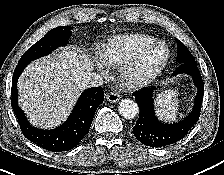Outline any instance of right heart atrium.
I'll return each mask as SVG.
<instances>
[{"label": "right heart atrium", "instance_id": "d8ad5b80", "mask_svg": "<svg viewBox=\"0 0 224 175\" xmlns=\"http://www.w3.org/2000/svg\"><path fill=\"white\" fill-rule=\"evenodd\" d=\"M98 67L102 73L106 72V65L102 61H98Z\"/></svg>", "mask_w": 224, "mask_h": 175}]
</instances>
